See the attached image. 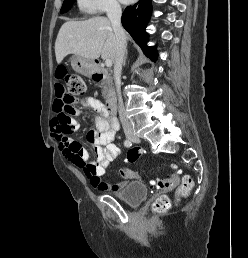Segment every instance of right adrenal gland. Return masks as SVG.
Wrapping results in <instances>:
<instances>
[{"instance_id":"2a0ac1e0","label":"right adrenal gland","mask_w":248,"mask_h":258,"mask_svg":"<svg viewBox=\"0 0 248 258\" xmlns=\"http://www.w3.org/2000/svg\"><path fill=\"white\" fill-rule=\"evenodd\" d=\"M127 54H128V52L126 51V52H125V57H124V60H123V66H125V65H126Z\"/></svg>"}]
</instances>
